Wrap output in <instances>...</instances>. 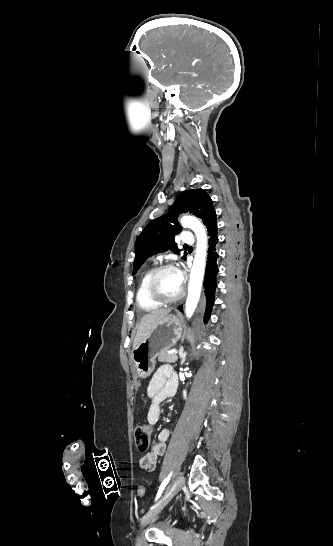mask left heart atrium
Instances as JSON below:
<instances>
[{
    "label": "left heart atrium",
    "mask_w": 333,
    "mask_h": 546,
    "mask_svg": "<svg viewBox=\"0 0 333 546\" xmlns=\"http://www.w3.org/2000/svg\"><path fill=\"white\" fill-rule=\"evenodd\" d=\"M176 274H177L178 282L180 283V285H182V283H183V273L180 270H177Z\"/></svg>",
    "instance_id": "39dd6f15"
}]
</instances>
